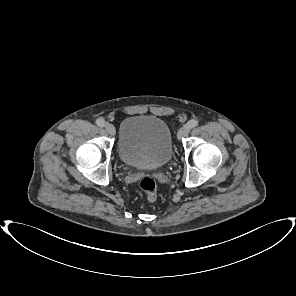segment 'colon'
I'll list each match as a JSON object with an SVG mask.
<instances>
[{
    "mask_svg": "<svg viewBox=\"0 0 296 296\" xmlns=\"http://www.w3.org/2000/svg\"><path fill=\"white\" fill-rule=\"evenodd\" d=\"M139 187L141 191L147 196L149 201H155L157 198V185L156 182L150 178L145 177L143 178L140 183Z\"/></svg>",
    "mask_w": 296,
    "mask_h": 296,
    "instance_id": "5ec220e1",
    "label": "colon"
}]
</instances>
